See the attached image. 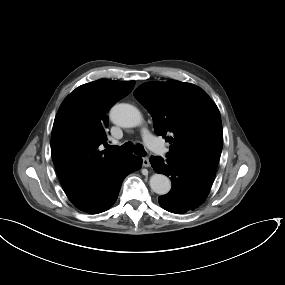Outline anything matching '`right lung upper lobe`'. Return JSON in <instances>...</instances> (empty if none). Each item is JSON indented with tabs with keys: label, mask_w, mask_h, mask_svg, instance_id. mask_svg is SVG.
<instances>
[{
	"label": "right lung upper lobe",
	"mask_w": 285,
	"mask_h": 285,
	"mask_svg": "<svg viewBox=\"0 0 285 285\" xmlns=\"http://www.w3.org/2000/svg\"><path fill=\"white\" fill-rule=\"evenodd\" d=\"M134 85L135 81L100 79L79 86L61 104L53 124L51 154L63 190L74 205L131 156L100 151L99 146L108 145L107 113Z\"/></svg>",
	"instance_id": "1"
}]
</instances>
